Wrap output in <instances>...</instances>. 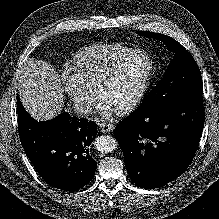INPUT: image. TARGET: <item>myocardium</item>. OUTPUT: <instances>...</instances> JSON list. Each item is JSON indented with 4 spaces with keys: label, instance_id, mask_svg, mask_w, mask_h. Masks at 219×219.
Returning a JSON list of instances; mask_svg holds the SVG:
<instances>
[{
    "label": "myocardium",
    "instance_id": "myocardium-1",
    "mask_svg": "<svg viewBox=\"0 0 219 219\" xmlns=\"http://www.w3.org/2000/svg\"><path fill=\"white\" fill-rule=\"evenodd\" d=\"M136 54H143L148 58L149 68H148V71H147V73L144 77V80H143L139 90L137 91L136 95L128 103L124 104L121 107L116 108V111L118 113H121V114L132 111L134 108H136L141 103V101L145 97V95H146V93L151 85V82H152V79H153V76L155 73V60H154V57L152 56V54L149 51L142 49V48H135V49L128 51L127 53H125L122 56H120L119 58H117L106 69V71L99 78L97 85H96L97 93L100 95L102 88L115 75V73L117 72V70L119 69L121 64L124 61H126L128 58H130Z\"/></svg>",
    "mask_w": 219,
    "mask_h": 219
}]
</instances>
